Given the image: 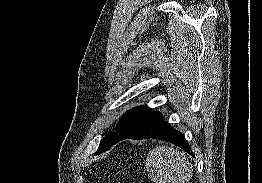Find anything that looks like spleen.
<instances>
[{"mask_svg": "<svg viewBox=\"0 0 262 183\" xmlns=\"http://www.w3.org/2000/svg\"><path fill=\"white\" fill-rule=\"evenodd\" d=\"M146 168L154 183H184L192 176L185 155L167 146H157L149 151Z\"/></svg>", "mask_w": 262, "mask_h": 183, "instance_id": "3e777b00", "label": "spleen"}]
</instances>
